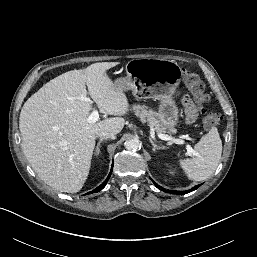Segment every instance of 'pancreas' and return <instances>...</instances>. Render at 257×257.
Masks as SVG:
<instances>
[{
	"mask_svg": "<svg viewBox=\"0 0 257 257\" xmlns=\"http://www.w3.org/2000/svg\"><path fill=\"white\" fill-rule=\"evenodd\" d=\"M133 111L141 119L147 118L149 126L157 133L166 132V130H169V132L173 131L172 127L169 128L154 111L151 109L147 110L146 106L134 105Z\"/></svg>",
	"mask_w": 257,
	"mask_h": 257,
	"instance_id": "pancreas-1",
	"label": "pancreas"
}]
</instances>
